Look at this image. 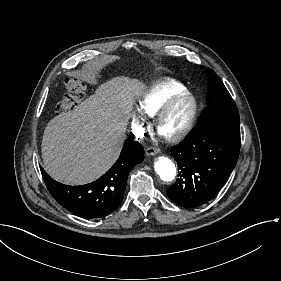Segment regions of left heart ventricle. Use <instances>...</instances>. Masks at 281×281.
I'll return each instance as SVG.
<instances>
[{"instance_id": "obj_1", "label": "left heart ventricle", "mask_w": 281, "mask_h": 281, "mask_svg": "<svg viewBox=\"0 0 281 281\" xmlns=\"http://www.w3.org/2000/svg\"><path fill=\"white\" fill-rule=\"evenodd\" d=\"M190 106L191 102L189 98L178 101L169 111L162 123L163 133L169 134L181 126L189 113Z\"/></svg>"}]
</instances>
